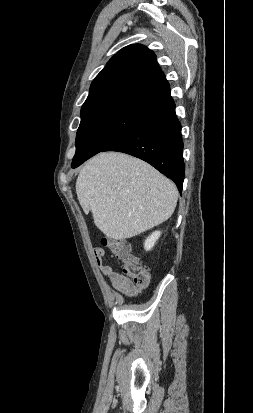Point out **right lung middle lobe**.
<instances>
[{
  "label": "right lung middle lobe",
  "mask_w": 253,
  "mask_h": 413,
  "mask_svg": "<svg viewBox=\"0 0 253 413\" xmlns=\"http://www.w3.org/2000/svg\"><path fill=\"white\" fill-rule=\"evenodd\" d=\"M148 116L130 112H107L81 120L76 135V153L72 168L125 137Z\"/></svg>",
  "instance_id": "1"
}]
</instances>
